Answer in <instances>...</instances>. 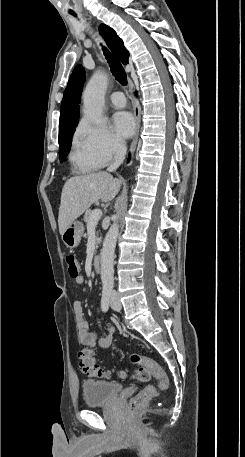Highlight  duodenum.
<instances>
[{"instance_id":"1","label":"duodenum","mask_w":245,"mask_h":457,"mask_svg":"<svg viewBox=\"0 0 245 457\" xmlns=\"http://www.w3.org/2000/svg\"><path fill=\"white\" fill-rule=\"evenodd\" d=\"M92 266L95 271H99L101 268V256L95 255L92 260Z\"/></svg>"}]
</instances>
